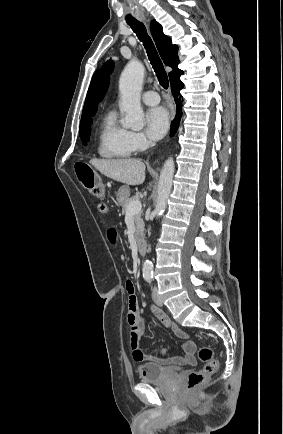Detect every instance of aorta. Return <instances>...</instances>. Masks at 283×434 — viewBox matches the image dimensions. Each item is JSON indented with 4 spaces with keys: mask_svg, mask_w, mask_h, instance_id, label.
<instances>
[{
    "mask_svg": "<svg viewBox=\"0 0 283 434\" xmlns=\"http://www.w3.org/2000/svg\"><path fill=\"white\" fill-rule=\"evenodd\" d=\"M145 68L143 64L133 59L128 62L119 79L120 110L124 113L123 127L141 130L144 126V113L140 103ZM174 161L169 158L163 165L158 184L157 202L154 213L161 217L172 189ZM143 276L150 277L153 264L146 259L143 263Z\"/></svg>",
    "mask_w": 283,
    "mask_h": 434,
    "instance_id": "aorta-1",
    "label": "aorta"
}]
</instances>
